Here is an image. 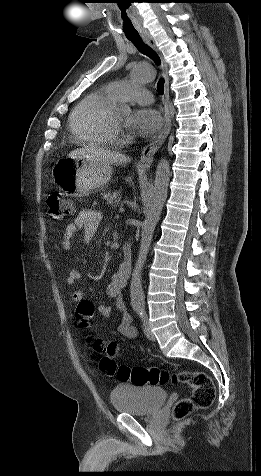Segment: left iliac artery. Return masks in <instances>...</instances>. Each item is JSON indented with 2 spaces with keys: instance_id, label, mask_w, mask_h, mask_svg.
<instances>
[{
  "instance_id": "44dca946",
  "label": "left iliac artery",
  "mask_w": 261,
  "mask_h": 476,
  "mask_svg": "<svg viewBox=\"0 0 261 476\" xmlns=\"http://www.w3.org/2000/svg\"><path fill=\"white\" fill-rule=\"evenodd\" d=\"M135 310H136L137 314L142 318L143 315H144V307L143 306H138V307H136Z\"/></svg>"
}]
</instances>
